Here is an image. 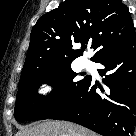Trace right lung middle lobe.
I'll return each mask as SVG.
<instances>
[{
  "instance_id": "1",
  "label": "right lung middle lobe",
  "mask_w": 136,
  "mask_h": 136,
  "mask_svg": "<svg viewBox=\"0 0 136 136\" xmlns=\"http://www.w3.org/2000/svg\"><path fill=\"white\" fill-rule=\"evenodd\" d=\"M70 65L35 72L20 79L14 110L17 121L47 119L80 90L89 76L76 81L77 73L72 71ZM44 83L53 86L54 93L47 97H40L37 95V90Z\"/></svg>"
}]
</instances>
